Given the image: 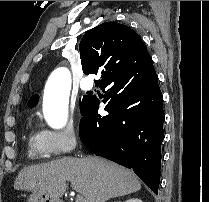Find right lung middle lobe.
Instances as JSON below:
<instances>
[{"label":"right lung middle lobe","instance_id":"1","mask_svg":"<svg viewBox=\"0 0 209 202\" xmlns=\"http://www.w3.org/2000/svg\"><path fill=\"white\" fill-rule=\"evenodd\" d=\"M88 99H89V96L84 95L82 101L81 99L79 100L81 113H83L84 110L86 109Z\"/></svg>","mask_w":209,"mask_h":202}]
</instances>
